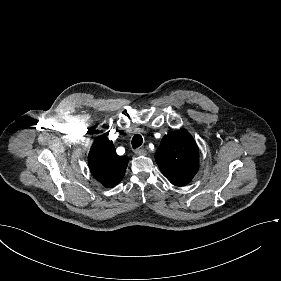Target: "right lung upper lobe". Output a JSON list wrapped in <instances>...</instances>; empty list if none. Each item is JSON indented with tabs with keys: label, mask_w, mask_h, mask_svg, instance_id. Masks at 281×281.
I'll list each match as a JSON object with an SVG mask.
<instances>
[{
	"label": "right lung upper lobe",
	"mask_w": 281,
	"mask_h": 281,
	"mask_svg": "<svg viewBox=\"0 0 281 281\" xmlns=\"http://www.w3.org/2000/svg\"><path fill=\"white\" fill-rule=\"evenodd\" d=\"M106 135L95 139L88 155V163L96 180L106 187H113L124 177L128 159L116 154Z\"/></svg>",
	"instance_id": "cb5924a9"
}]
</instances>
